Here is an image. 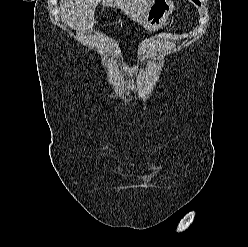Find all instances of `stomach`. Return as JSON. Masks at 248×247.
<instances>
[{
    "label": "stomach",
    "instance_id": "stomach-1",
    "mask_svg": "<svg viewBox=\"0 0 248 247\" xmlns=\"http://www.w3.org/2000/svg\"><path fill=\"white\" fill-rule=\"evenodd\" d=\"M174 10L172 0H154L148 7L140 24L148 31H156L169 18Z\"/></svg>",
    "mask_w": 248,
    "mask_h": 247
}]
</instances>
